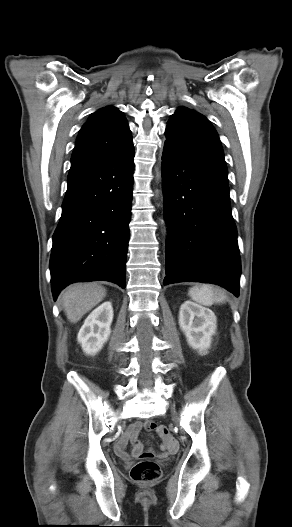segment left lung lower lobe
<instances>
[{
	"mask_svg": "<svg viewBox=\"0 0 292 527\" xmlns=\"http://www.w3.org/2000/svg\"><path fill=\"white\" fill-rule=\"evenodd\" d=\"M169 236L164 284H218L239 295L241 273L226 164L165 145L162 155Z\"/></svg>",
	"mask_w": 292,
	"mask_h": 527,
	"instance_id": "1",
	"label": "left lung lower lobe"
}]
</instances>
